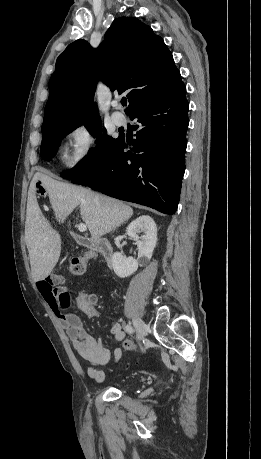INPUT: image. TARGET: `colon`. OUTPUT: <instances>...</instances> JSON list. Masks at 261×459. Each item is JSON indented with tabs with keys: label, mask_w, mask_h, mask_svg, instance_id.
I'll use <instances>...</instances> for the list:
<instances>
[{
	"label": "colon",
	"mask_w": 261,
	"mask_h": 459,
	"mask_svg": "<svg viewBox=\"0 0 261 459\" xmlns=\"http://www.w3.org/2000/svg\"><path fill=\"white\" fill-rule=\"evenodd\" d=\"M91 259L89 255L84 257H68L65 260L66 269L72 275H82L85 272L86 264ZM96 295L94 293L84 292L78 297L79 306L94 307L96 304ZM69 296L64 300V308L69 304ZM126 350H133L135 347L131 341L124 342Z\"/></svg>",
	"instance_id": "obj_1"
}]
</instances>
